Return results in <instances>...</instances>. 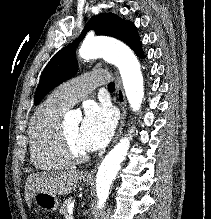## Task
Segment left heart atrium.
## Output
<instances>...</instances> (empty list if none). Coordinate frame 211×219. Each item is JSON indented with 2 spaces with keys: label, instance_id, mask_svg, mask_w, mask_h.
<instances>
[{
  "label": "left heart atrium",
  "instance_id": "obj_1",
  "mask_svg": "<svg viewBox=\"0 0 211 219\" xmlns=\"http://www.w3.org/2000/svg\"><path fill=\"white\" fill-rule=\"evenodd\" d=\"M115 129V118L108 106L90 105L85 110L80 126V143L86 151H96L110 141Z\"/></svg>",
  "mask_w": 211,
  "mask_h": 219
}]
</instances>
